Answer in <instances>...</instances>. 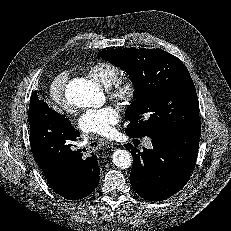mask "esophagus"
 I'll return each instance as SVG.
<instances>
[{
	"label": "esophagus",
	"mask_w": 231,
	"mask_h": 231,
	"mask_svg": "<svg viewBox=\"0 0 231 231\" xmlns=\"http://www.w3.org/2000/svg\"><path fill=\"white\" fill-rule=\"evenodd\" d=\"M101 145L109 147V146L114 145V143L111 140L103 139V140H101Z\"/></svg>",
	"instance_id": "obj_1"
}]
</instances>
